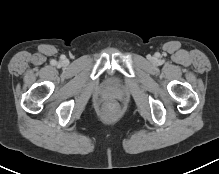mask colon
<instances>
[{"mask_svg":"<svg viewBox=\"0 0 219 174\" xmlns=\"http://www.w3.org/2000/svg\"><path fill=\"white\" fill-rule=\"evenodd\" d=\"M119 105L115 101L105 103L103 106V114L106 118L112 119L117 116Z\"/></svg>","mask_w":219,"mask_h":174,"instance_id":"1","label":"colon"}]
</instances>
